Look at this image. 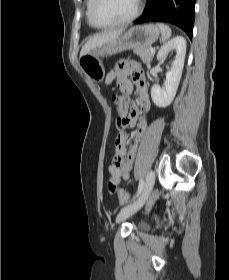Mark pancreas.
<instances>
[{
  "label": "pancreas",
  "instance_id": "obj_1",
  "mask_svg": "<svg viewBox=\"0 0 229 280\" xmlns=\"http://www.w3.org/2000/svg\"><path fill=\"white\" fill-rule=\"evenodd\" d=\"M134 53L139 55L145 64H149L154 57V53H151L150 49H134Z\"/></svg>",
  "mask_w": 229,
  "mask_h": 280
}]
</instances>
